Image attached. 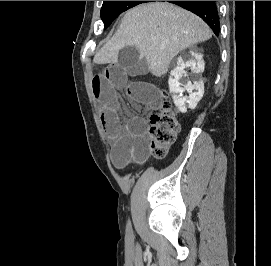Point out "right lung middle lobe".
Segmentation results:
<instances>
[{"instance_id": "obj_1", "label": "right lung middle lobe", "mask_w": 271, "mask_h": 266, "mask_svg": "<svg viewBox=\"0 0 271 266\" xmlns=\"http://www.w3.org/2000/svg\"><path fill=\"white\" fill-rule=\"evenodd\" d=\"M150 1H104L101 8V19L104 22V29L110 26L121 12Z\"/></svg>"}]
</instances>
